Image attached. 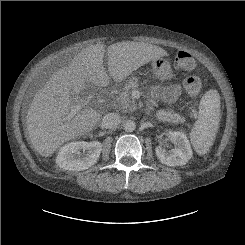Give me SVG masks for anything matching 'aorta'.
<instances>
[{
  "label": "aorta",
  "instance_id": "762f6f07",
  "mask_svg": "<svg viewBox=\"0 0 245 245\" xmlns=\"http://www.w3.org/2000/svg\"><path fill=\"white\" fill-rule=\"evenodd\" d=\"M123 129L126 132H133L136 129V123L133 120H126L123 122Z\"/></svg>",
  "mask_w": 245,
  "mask_h": 245
}]
</instances>
